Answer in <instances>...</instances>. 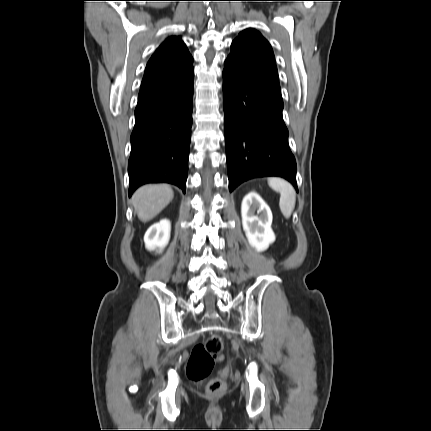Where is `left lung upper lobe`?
Wrapping results in <instances>:
<instances>
[{"mask_svg": "<svg viewBox=\"0 0 431 431\" xmlns=\"http://www.w3.org/2000/svg\"><path fill=\"white\" fill-rule=\"evenodd\" d=\"M225 68L280 90L272 48L256 30H245L234 40Z\"/></svg>", "mask_w": 431, "mask_h": 431, "instance_id": "obj_1", "label": "left lung upper lobe"}]
</instances>
